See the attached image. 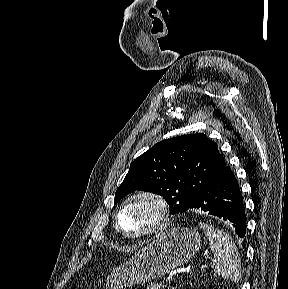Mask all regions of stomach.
Returning <instances> with one entry per match:
<instances>
[{"label": "stomach", "mask_w": 288, "mask_h": 289, "mask_svg": "<svg viewBox=\"0 0 288 289\" xmlns=\"http://www.w3.org/2000/svg\"><path fill=\"white\" fill-rule=\"evenodd\" d=\"M200 246V234L195 229L170 228L115 268L106 279V289H127L160 278L189 261Z\"/></svg>", "instance_id": "1"}]
</instances>
